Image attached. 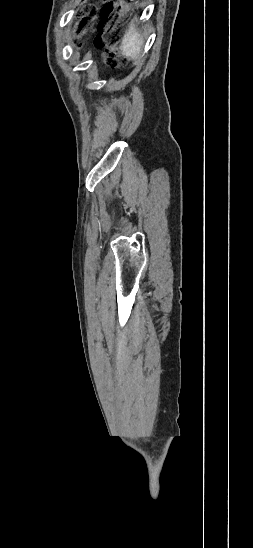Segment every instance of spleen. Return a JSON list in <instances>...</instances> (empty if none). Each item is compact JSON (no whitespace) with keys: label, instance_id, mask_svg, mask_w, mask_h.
Wrapping results in <instances>:
<instances>
[{"label":"spleen","instance_id":"spleen-1","mask_svg":"<svg viewBox=\"0 0 253 548\" xmlns=\"http://www.w3.org/2000/svg\"><path fill=\"white\" fill-rule=\"evenodd\" d=\"M143 47V40L140 38L139 32L135 29L134 23H131L129 30L126 32L121 43V52L125 57L130 59H138Z\"/></svg>","mask_w":253,"mask_h":548}]
</instances>
